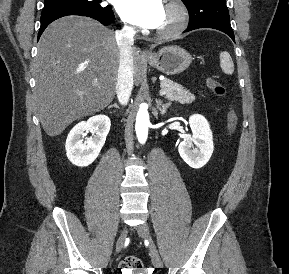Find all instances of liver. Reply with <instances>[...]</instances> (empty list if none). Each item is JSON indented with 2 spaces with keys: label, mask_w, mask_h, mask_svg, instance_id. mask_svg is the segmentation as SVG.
Instances as JSON below:
<instances>
[{
  "label": "liver",
  "mask_w": 289,
  "mask_h": 274,
  "mask_svg": "<svg viewBox=\"0 0 289 274\" xmlns=\"http://www.w3.org/2000/svg\"><path fill=\"white\" fill-rule=\"evenodd\" d=\"M140 83L141 57L132 48ZM120 52L114 32L99 22L67 16L51 23L34 59L35 101L46 134L60 135L72 122L103 110L114 99Z\"/></svg>",
  "instance_id": "liver-1"
}]
</instances>
